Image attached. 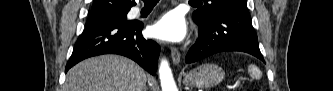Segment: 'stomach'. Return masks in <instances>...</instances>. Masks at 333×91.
Returning <instances> with one entry per match:
<instances>
[{"mask_svg": "<svg viewBox=\"0 0 333 91\" xmlns=\"http://www.w3.org/2000/svg\"><path fill=\"white\" fill-rule=\"evenodd\" d=\"M225 72L215 64H202L188 74L184 78L186 86L197 88H211L218 85L224 79Z\"/></svg>", "mask_w": 333, "mask_h": 91, "instance_id": "obj_1", "label": "stomach"}]
</instances>
